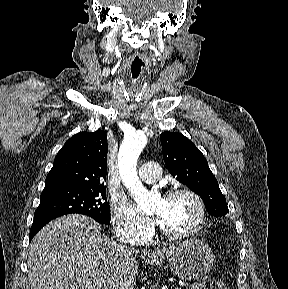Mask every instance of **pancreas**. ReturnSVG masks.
I'll use <instances>...</instances> for the list:
<instances>
[{"label": "pancreas", "mask_w": 288, "mask_h": 289, "mask_svg": "<svg viewBox=\"0 0 288 289\" xmlns=\"http://www.w3.org/2000/svg\"><path fill=\"white\" fill-rule=\"evenodd\" d=\"M206 281L202 280L192 285H185V289H205Z\"/></svg>", "instance_id": "obj_1"}]
</instances>
